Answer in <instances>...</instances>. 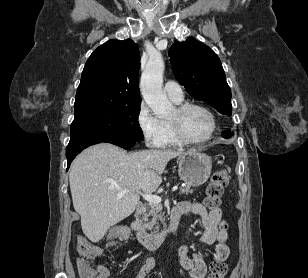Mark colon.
Segmentation results:
<instances>
[{
    "mask_svg": "<svg viewBox=\"0 0 308 278\" xmlns=\"http://www.w3.org/2000/svg\"><path fill=\"white\" fill-rule=\"evenodd\" d=\"M230 180V174L227 170L221 169L214 172L206 191L205 204L209 209L219 207L224 189L230 184ZM130 231V226H113L110 235L105 237L106 245L111 247L113 241L125 242L126 237L131 235ZM77 253L83 260L79 265L81 278H97L98 272L86 261H95L101 253V248L87 238L79 236L77 239ZM226 272L227 266L223 261H213L207 278H224Z\"/></svg>",
    "mask_w": 308,
    "mask_h": 278,
    "instance_id": "obj_1",
    "label": "colon"
}]
</instances>
